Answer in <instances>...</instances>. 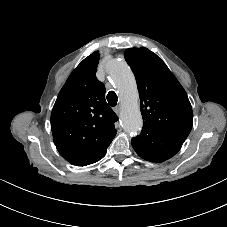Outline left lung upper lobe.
Masks as SVG:
<instances>
[{"label": "left lung upper lobe", "mask_w": 227, "mask_h": 227, "mask_svg": "<svg viewBox=\"0 0 227 227\" xmlns=\"http://www.w3.org/2000/svg\"><path fill=\"white\" fill-rule=\"evenodd\" d=\"M136 77L143 127L184 142L193 124L188 96L166 64L147 48L125 51Z\"/></svg>", "instance_id": "obj_1"}]
</instances>
